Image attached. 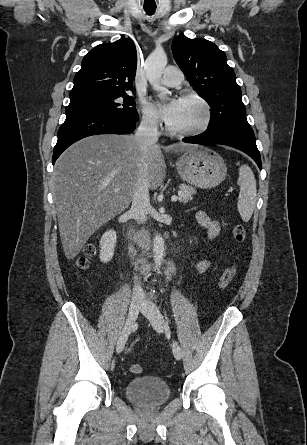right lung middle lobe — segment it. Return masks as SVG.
<instances>
[{"label": "right lung middle lobe", "mask_w": 307, "mask_h": 445, "mask_svg": "<svg viewBox=\"0 0 307 445\" xmlns=\"http://www.w3.org/2000/svg\"><path fill=\"white\" fill-rule=\"evenodd\" d=\"M76 113H110L126 118H138L135 101L126 93L70 98L66 116Z\"/></svg>", "instance_id": "obj_1"}]
</instances>
